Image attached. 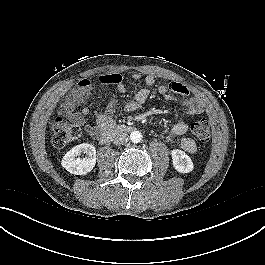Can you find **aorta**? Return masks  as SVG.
Instances as JSON below:
<instances>
[{"instance_id": "762f6f07", "label": "aorta", "mask_w": 265, "mask_h": 265, "mask_svg": "<svg viewBox=\"0 0 265 265\" xmlns=\"http://www.w3.org/2000/svg\"><path fill=\"white\" fill-rule=\"evenodd\" d=\"M141 139H142V134L139 131H133V132H131V134H130V140L133 143H138V142L141 141Z\"/></svg>"}]
</instances>
